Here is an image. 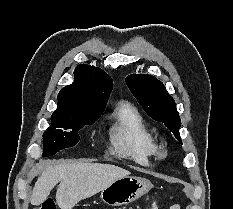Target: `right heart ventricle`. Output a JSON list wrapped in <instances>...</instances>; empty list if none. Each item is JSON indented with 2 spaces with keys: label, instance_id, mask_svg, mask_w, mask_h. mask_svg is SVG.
Returning a JSON list of instances; mask_svg holds the SVG:
<instances>
[{
  "label": "right heart ventricle",
  "instance_id": "1",
  "mask_svg": "<svg viewBox=\"0 0 233 209\" xmlns=\"http://www.w3.org/2000/svg\"><path fill=\"white\" fill-rule=\"evenodd\" d=\"M110 139L113 152L147 166L156 157V140L139 111L129 102H120L112 113Z\"/></svg>",
  "mask_w": 233,
  "mask_h": 209
}]
</instances>
